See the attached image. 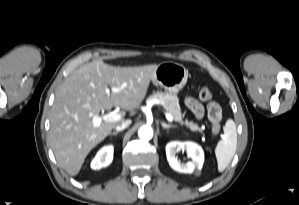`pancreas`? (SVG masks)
<instances>
[{"label": "pancreas", "instance_id": "obj_1", "mask_svg": "<svg viewBox=\"0 0 299 205\" xmlns=\"http://www.w3.org/2000/svg\"><path fill=\"white\" fill-rule=\"evenodd\" d=\"M159 100L160 105L172 115L174 121L180 125H185L191 131H201V128L193 121L183 120L182 113L179 106V99L176 95L171 93L157 92L151 95L147 101Z\"/></svg>", "mask_w": 299, "mask_h": 205}]
</instances>
